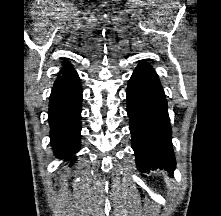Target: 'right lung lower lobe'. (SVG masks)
I'll return each mask as SVG.
<instances>
[{"instance_id":"1","label":"right lung lower lobe","mask_w":221,"mask_h":216,"mask_svg":"<svg viewBox=\"0 0 221 216\" xmlns=\"http://www.w3.org/2000/svg\"><path fill=\"white\" fill-rule=\"evenodd\" d=\"M82 88L75 70L61 74L50 95L48 121L50 139L58 158L74 160V153L81 148Z\"/></svg>"}]
</instances>
